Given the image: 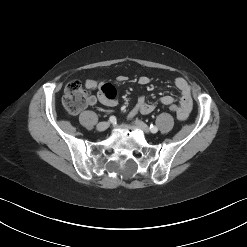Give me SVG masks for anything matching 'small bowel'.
<instances>
[{"label": "small bowel", "instance_id": "obj_1", "mask_svg": "<svg viewBox=\"0 0 247 247\" xmlns=\"http://www.w3.org/2000/svg\"><path fill=\"white\" fill-rule=\"evenodd\" d=\"M126 80V76L118 77L119 82H124ZM138 81L141 85H146L150 82V79L147 76H141ZM174 85L180 92V99L178 103L179 110L177 113V118L179 120H185L189 116L193 106L191 88L187 81L181 77L175 79ZM85 87L88 90L97 92L96 94L89 95L87 97V105L93 106L97 103H101L109 107H113L116 105V89L112 84L103 81L88 79L85 81ZM173 102L174 98L170 95H164L160 98V103L165 106H168ZM154 108L155 105L153 103L147 102L144 96H139L136 105L130 112V116H133L137 113L149 114L154 110Z\"/></svg>", "mask_w": 247, "mask_h": 247}]
</instances>
